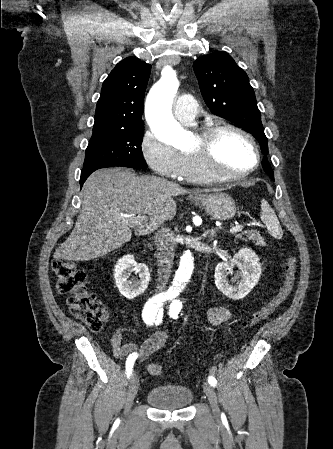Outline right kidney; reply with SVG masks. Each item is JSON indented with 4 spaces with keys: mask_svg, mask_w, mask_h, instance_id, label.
<instances>
[{
    "mask_svg": "<svg viewBox=\"0 0 333 449\" xmlns=\"http://www.w3.org/2000/svg\"><path fill=\"white\" fill-rule=\"evenodd\" d=\"M131 272L139 274V278L128 280ZM114 277L119 292L127 299H133L143 293L150 281L148 267L145 264H137L133 255L119 259L114 269Z\"/></svg>",
    "mask_w": 333,
    "mask_h": 449,
    "instance_id": "obj_1",
    "label": "right kidney"
}]
</instances>
